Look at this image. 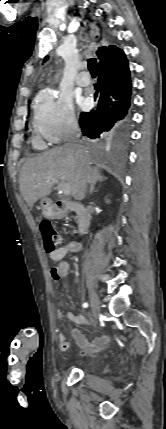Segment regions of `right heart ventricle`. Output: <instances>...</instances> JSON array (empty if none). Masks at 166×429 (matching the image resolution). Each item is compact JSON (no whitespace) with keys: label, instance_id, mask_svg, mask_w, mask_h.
Instances as JSON below:
<instances>
[{"label":"right heart ventricle","instance_id":"1","mask_svg":"<svg viewBox=\"0 0 166 429\" xmlns=\"http://www.w3.org/2000/svg\"><path fill=\"white\" fill-rule=\"evenodd\" d=\"M34 144L36 147L42 148L45 146V144L42 142V140L40 139V137H35L34 138Z\"/></svg>","mask_w":166,"mask_h":429}]
</instances>
